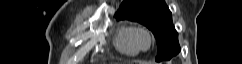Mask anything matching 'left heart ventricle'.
Returning <instances> with one entry per match:
<instances>
[{"instance_id":"obj_1","label":"left heart ventricle","mask_w":242,"mask_h":64,"mask_svg":"<svg viewBox=\"0 0 242 64\" xmlns=\"http://www.w3.org/2000/svg\"><path fill=\"white\" fill-rule=\"evenodd\" d=\"M140 42H141V44H143V45H146V44H147V40H146V38H144V37H142V38L140 39Z\"/></svg>"}]
</instances>
